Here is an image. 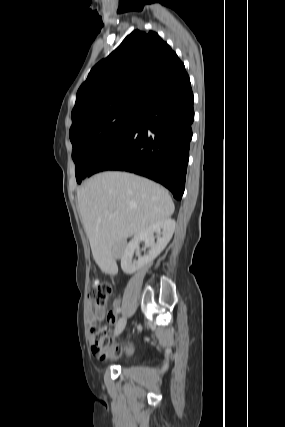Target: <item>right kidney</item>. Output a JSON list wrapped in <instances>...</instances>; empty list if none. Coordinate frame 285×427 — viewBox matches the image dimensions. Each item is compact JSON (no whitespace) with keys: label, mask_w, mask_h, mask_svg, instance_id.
Masks as SVG:
<instances>
[{"label":"right kidney","mask_w":285,"mask_h":427,"mask_svg":"<svg viewBox=\"0 0 285 427\" xmlns=\"http://www.w3.org/2000/svg\"><path fill=\"white\" fill-rule=\"evenodd\" d=\"M175 220L167 218L163 221L150 225L144 231L136 234L126 246L121 257V268L126 274H133L137 270L148 266L166 247L175 230ZM154 233L159 235L155 243ZM160 235H162L160 237ZM144 241L145 247L149 248L143 257L138 255V260H132L135 250L139 249V243Z\"/></svg>","instance_id":"right-kidney-1"}]
</instances>
